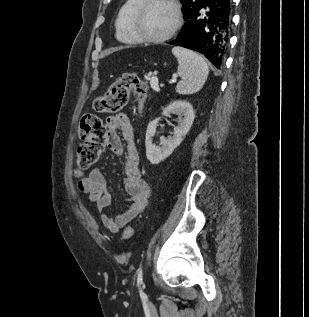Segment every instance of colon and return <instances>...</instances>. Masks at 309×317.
<instances>
[{"label": "colon", "mask_w": 309, "mask_h": 317, "mask_svg": "<svg viewBox=\"0 0 309 317\" xmlns=\"http://www.w3.org/2000/svg\"><path fill=\"white\" fill-rule=\"evenodd\" d=\"M131 92L137 95L138 107L141 112L147 96V85L135 73L123 74L105 94L94 100L93 107L98 112H118L127 104ZM80 134L82 143L76 152L77 168L75 174L77 176H80L83 171L98 161L107 136L103 121L94 114H86L82 117ZM123 236L126 239L131 238L133 236L132 227H126Z\"/></svg>", "instance_id": "5ec220e1"}]
</instances>
